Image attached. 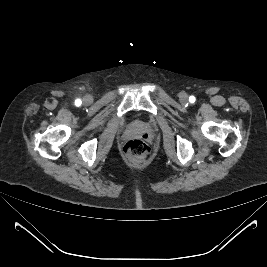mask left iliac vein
Returning a JSON list of instances; mask_svg holds the SVG:
<instances>
[{
    "instance_id": "4c4485c4",
    "label": "left iliac vein",
    "mask_w": 267,
    "mask_h": 267,
    "mask_svg": "<svg viewBox=\"0 0 267 267\" xmlns=\"http://www.w3.org/2000/svg\"><path fill=\"white\" fill-rule=\"evenodd\" d=\"M179 98L182 104H186L188 102V95L184 92L180 93Z\"/></svg>"
}]
</instances>
